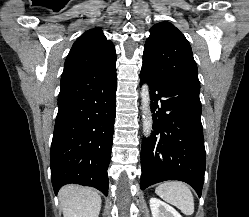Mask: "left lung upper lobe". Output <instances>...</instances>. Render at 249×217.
I'll return each instance as SVG.
<instances>
[{
    "mask_svg": "<svg viewBox=\"0 0 249 217\" xmlns=\"http://www.w3.org/2000/svg\"><path fill=\"white\" fill-rule=\"evenodd\" d=\"M142 69L155 79L184 84L200 91L191 46L169 22L155 24L150 29V36L144 46Z\"/></svg>",
    "mask_w": 249,
    "mask_h": 217,
    "instance_id": "obj_1",
    "label": "left lung upper lobe"
}]
</instances>
